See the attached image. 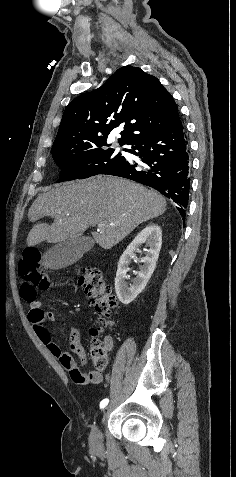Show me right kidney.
Returning a JSON list of instances; mask_svg holds the SVG:
<instances>
[{
    "mask_svg": "<svg viewBox=\"0 0 236 477\" xmlns=\"http://www.w3.org/2000/svg\"><path fill=\"white\" fill-rule=\"evenodd\" d=\"M146 243L149 247L146 256L141 259L143 265L140 271L135 272L136 278L128 286L127 272L132 259L136 258L135 252ZM162 245V230L156 224H150L144 228L123 252L118 262L115 278V291L118 299L124 304L131 303L146 287L151 275L156 268V262Z\"/></svg>",
    "mask_w": 236,
    "mask_h": 477,
    "instance_id": "obj_1",
    "label": "right kidney"
}]
</instances>
